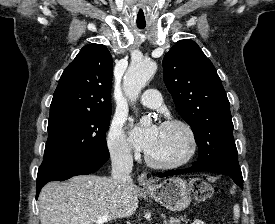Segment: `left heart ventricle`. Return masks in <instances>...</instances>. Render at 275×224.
<instances>
[{
	"mask_svg": "<svg viewBox=\"0 0 275 224\" xmlns=\"http://www.w3.org/2000/svg\"><path fill=\"white\" fill-rule=\"evenodd\" d=\"M187 150L188 139L181 128L161 126L158 137L148 155L159 162H173L182 158Z\"/></svg>",
	"mask_w": 275,
	"mask_h": 224,
	"instance_id": "left-heart-ventricle-1",
	"label": "left heart ventricle"
}]
</instances>
